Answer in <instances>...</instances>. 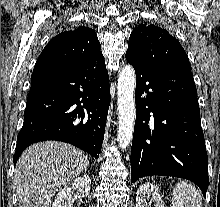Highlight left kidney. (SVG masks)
Masks as SVG:
<instances>
[{
	"label": "left kidney",
	"instance_id": "left-kidney-1",
	"mask_svg": "<svg viewBox=\"0 0 220 207\" xmlns=\"http://www.w3.org/2000/svg\"><path fill=\"white\" fill-rule=\"evenodd\" d=\"M148 201L153 202L154 207H165L161 196L155 186L146 182L139 187L136 193V207H147Z\"/></svg>",
	"mask_w": 220,
	"mask_h": 207
}]
</instances>
